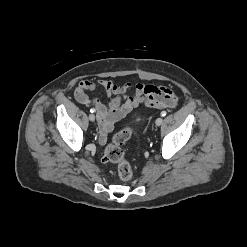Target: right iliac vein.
Wrapping results in <instances>:
<instances>
[{
  "instance_id": "right-iliac-vein-1",
  "label": "right iliac vein",
  "mask_w": 247,
  "mask_h": 247,
  "mask_svg": "<svg viewBox=\"0 0 247 247\" xmlns=\"http://www.w3.org/2000/svg\"><path fill=\"white\" fill-rule=\"evenodd\" d=\"M89 120L92 121V122L95 121V116H94V114H90V115H89Z\"/></svg>"
}]
</instances>
